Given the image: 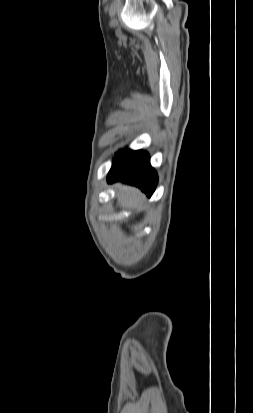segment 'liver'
Here are the masks:
<instances>
[{"mask_svg":"<svg viewBox=\"0 0 253 413\" xmlns=\"http://www.w3.org/2000/svg\"><path fill=\"white\" fill-rule=\"evenodd\" d=\"M116 187L118 189V203L122 208L136 209L141 206L144 197L138 189L122 184H117Z\"/></svg>","mask_w":253,"mask_h":413,"instance_id":"obj_1","label":"liver"}]
</instances>
